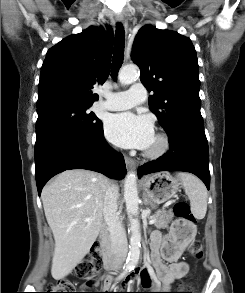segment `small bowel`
<instances>
[{
    "mask_svg": "<svg viewBox=\"0 0 245 293\" xmlns=\"http://www.w3.org/2000/svg\"><path fill=\"white\" fill-rule=\"evenodd\" d=\"M183 245V243L177 244L170 234L163 236L159 232L151 233V263L137 272L143 288L150 287V279L154 276L155 271L159 276L161 287L165 290H168L177 279L186 275L189 270L188 264L183 261H177ZM164 260L169 264H165ZM132 278L133 274L128 275L124 285L129 286L132 283ZM112 286V277L108 276L104 281L103 289L108 290Z\"/></svg>",
    "mask_w": 245,
    "mask_h": 293,
    "instance_id": "c3829d8e",
    "label": "small bowel"
}]
</instances>
